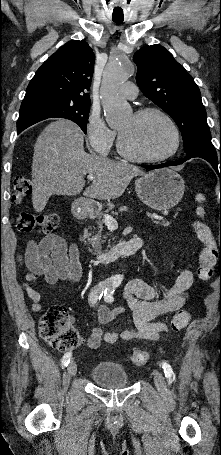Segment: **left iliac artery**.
I'll return each instance as SVG.
<instances>
[{"label": "left iliac artery", "instance_id": "44dca946", "mask_svg": "<svg viewBox=\"0 0 221 455\" xmlns=\"http://www.w3.org/2000/svg\"><path fill=\"white\" fill-rule=\"evenodd\" d=\"M114 291H115L114 286H109L108 287V289L104 293L105 301H107V302H113L114 301V297H113ZM162 368L164 370L165 377L167 378L168 382L171 383V378H172V375H173L172 367L168 363L162 362Z\"/></svg>", "mask_w": 221, "mask_h": 455}]
</instances>
